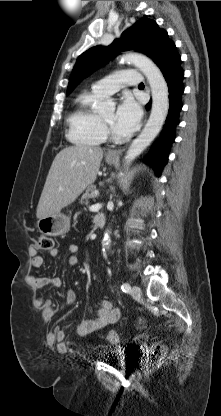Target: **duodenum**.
Wrapping results in <instances>:
<instances>
[{
  "mask_svg": "<svg viewBox=\"0 0 221 416\" xmlns=\"http://www.w3.org/2000/svg\"><path fill=\"white\" fill-rule=\"evenodd\" d=\"M105 221H106V219H105L104 216H98L96 218V222H95L96 223V226L98 228H102L105 225Z\"/></svg>",
  "mask_w": 221,
  "mask_h": 416,
  "instance_id": "obj_1",
  "label": "duodenum"
}]
</instances>
